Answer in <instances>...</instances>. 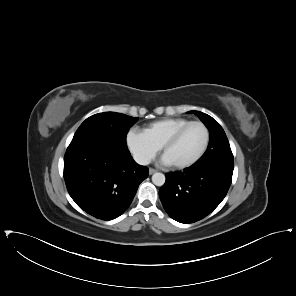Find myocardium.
Listing matches in <instances>:
<instances>
[{
    "label": "myocardium",
    "instance_id": "myocardium-1",
    "mask_svg": "<svg viewBox=\"0 0 296 296\" xmlns=\"http://www.w3.org/2000/svg\"><path fill=\"white\" fill-rule=\"evenodd\" d=\"M192 125H198L201 126L204 130L205 133V140H204V144L201 148V150L190 160L184 161V162H180V163H175V164H171L172 166L176 167V168H186L189 166H192L193 164L197 163L205 154L207 148H208V144H209V140H210V134H209V130L208 128L205 126L204 123L200 122V121H190L189 123H187L186 125H184L183 127H181L180 129H178L176 132H174L163 144L162 146V152L163 154H165L166 150L172 145L174 144L177 139L180 137V135L190 126Z\"/></svg>",
    "mask_w": 296,
    "mask_h": 296
}]
</instances>
